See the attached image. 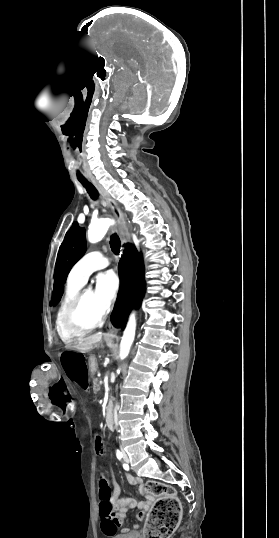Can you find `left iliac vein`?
Segmentation results:
<instances>
[{
    "label": "left iliac vein",
    "instance_id": "obj_1",
    "mask_svg": "<svg viewBox=\"0 0 279 538\" xmlns=\"http://www.w3.org/2000/svg\"><path fill=\"white\" fill-rule=\"evenodd\" d=\"M124 461L127 462V463L129 462V459H128L126 454H124Z\"/></svg>",
    "mask_w": 279,
    "mask_h": 538
}]
</instances>
